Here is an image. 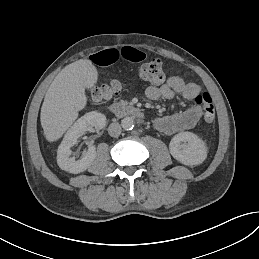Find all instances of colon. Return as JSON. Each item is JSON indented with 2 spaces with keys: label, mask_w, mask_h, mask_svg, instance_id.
Returning <instances> with one entry per match:
<instances>
[{
  "label": "colon",
  "mask_w": 259,
  "mask_h": 259,
  "mask_svg": "<svg viewBox=\"0 0 259 259\" xmlns=\"http://www.w3.org/2000/svg\"><path fill=\"white\" fill-rule=\"evenodd\" d=\"M139 77L142 81L157 85L165 80L163 71V63L160 59L154 58L143 64L139 69ZM121 90V84L113 82L102 86L95 87L91 90L90 95L94 100L109 99ZM195 102L202 106L204 111V119L207 124H212L215 120V110L211 96L208 93L199 94Z\"/></svg>",
  "instance_id": "colon-1"
}]
</instances>
